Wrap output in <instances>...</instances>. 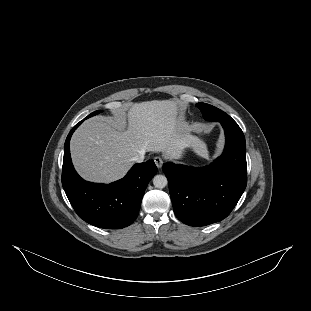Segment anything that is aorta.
<instances>
[{"label": "aorta", "mask_w": 311, "mask_h": 311, "mask_svg": "<svg viewBox=\"0 0 311 311\" xmlns=\"http://www.w3.org/2000/svg\"><path fill=\"white\" fill-rule=\"evenodd\" d=\"M153 184L156 188L162 189L165 188L168 184V180L164 175H156L153 178Z\"/></svg>", "instance_id": "aorta-1"}]
</instances>
